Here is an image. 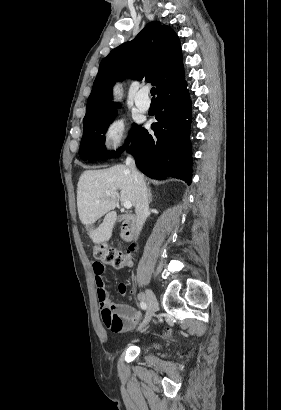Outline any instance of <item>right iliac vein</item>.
Instances as JSON below:
<instances>
[{
	"label": "right iliac vein",
	"mask_w": 281,
	"mask_h": 410,
	"mask_svg": "<svg viewBox=\"0 0 281 410\" xmlns=\"http://www.w3.org/2000/svg\"><path fill=\"white\" fill-rule=\"evenodd\" d=\"M145 299L148 305V310H147V314L145 316L144 321L142 322V324L139 326L138 330H143L146 325L150 322L152 316L154 315L157 307H158V302L157 299L154 295V293L151 290H146L145 292Z\"/></svg>",
	"instance_id": "1"
}]
</instances>
